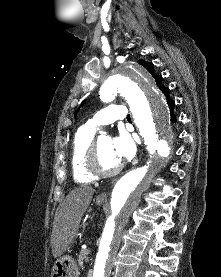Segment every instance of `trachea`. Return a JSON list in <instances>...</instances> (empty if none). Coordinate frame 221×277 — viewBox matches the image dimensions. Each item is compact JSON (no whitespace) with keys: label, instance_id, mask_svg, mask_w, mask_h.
<instances>
[{"label":"trachea","instance_id":"3493384b","mask_svg":"<svg viewBox=\"0 0 221 277\" xmlns=\"http://www.w3.org/2000/svg\"><path fill=\"white\" fill-rule=\"evenodd\" d=\"M130 119H131V118H130V115H128V116H127V120H130Z\"/></svg>","mask_w":221,"mask_h":277}]
</instances>
